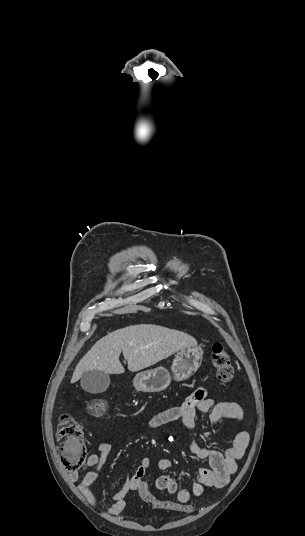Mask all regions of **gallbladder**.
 I'll list each match as a JSON object with an SVG mask.
<instances>
[{
	"label": "gallbladder",
	"instance_id": "gallbladder-1",
	"mask_svg": "<svg viewBox=\"0 0 305 536\" xmlns=\"http://www.w3.org/2000/svg\"><path fill=\"white\" fill-rule=\"evenodd\" d=\"M80 384L89 394H101L109 388L110 378L108 374L100 370H89V372H84Z\"/></svg>",
	"mask_w": 305,
	"mask_h": 536
}]
</instances>
